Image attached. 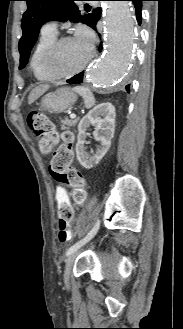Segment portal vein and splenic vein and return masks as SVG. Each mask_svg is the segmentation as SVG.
Here are the masks:
<instances>
[{"instance_id": "18ae733b", "label": "portal vein and splenic vein", "mask_w": 183, "mask_h": 329, "mask_svg": "<svg viewBox=\"0 0 183 329\" xmlns=\"http://www.w3.org/2000/svg\"><path fill=\"white\" fill-rule=\"evenodd\" d=\"M70 118H71V119H75V118H76V115H75V114H71V115H70Z\"/></svg>"}]
</instances>
